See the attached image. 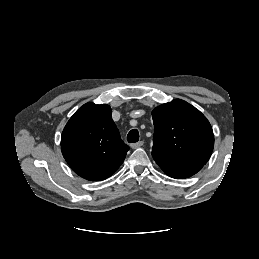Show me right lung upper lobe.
Segmentation results:
<instances>
[{
  "instance_id": "1",
  "label": "right lung upper lobe",
  "mask_w": 259,
  "mask_h": 259,
  "mask_svg": "<svg viewBox=\"0 0 259 259\" xmlns=\"http://www.w3.org/2000/svg\"><path fill=\"white\" fill-rule=\"evenodd\" d=\"M106 104L88 102L66 124L61 137L62 154L82 178L110 177L123 163L129 147L122 141Z\"/></svg>"
}]
</instances>
